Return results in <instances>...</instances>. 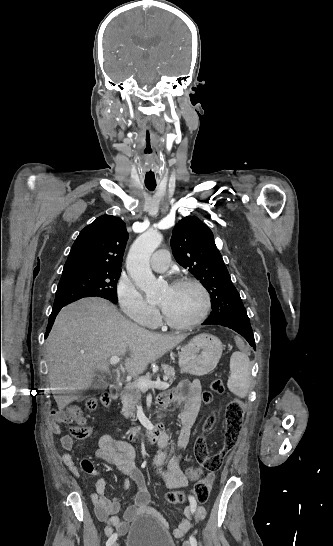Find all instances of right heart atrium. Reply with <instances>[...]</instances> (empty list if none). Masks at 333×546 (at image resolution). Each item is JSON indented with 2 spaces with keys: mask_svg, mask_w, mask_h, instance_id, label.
<instances>
[{
  "mask_svg": "<svg viewBox=\"0 0 333 546\" xmlns=\"http://www.w3.org/2000/svg\"><path fill=\"white\" fill-rule=\"evenodd\" d=\"M116 295L123 313L132 321L145 325H154L158 314L126 277H121L117 282Z\"/></svg>",
  "mask_w": 333,
  "mask_h": 546,
  "instance_id": "right-heart-atrium-1",
  "label": "right heart atrium"
}]
</instances>
